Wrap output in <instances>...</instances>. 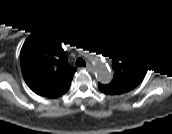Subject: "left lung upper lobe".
<instances>
[{
  "label": "left lung upper lobe",
  "instance_id": "1",
  "mask_svg": "<svg viewBox=\"0 0 172 134\" xmlns=\"http://www.w3.org/2000/svg\"><path fill=\"white\" fill-rule=\"evenodd\" d=\"M106 50L110 53L114 76L107 85L98 84L99 89L118 95L138 86L148 70V59L138 45L124 36L108 40Z\"/></svg>",
  "mask_w": 172,
  "mask_h": 134
}]
</instances>
